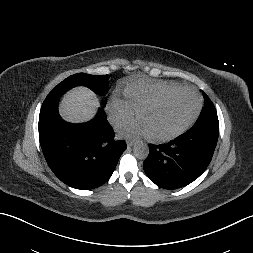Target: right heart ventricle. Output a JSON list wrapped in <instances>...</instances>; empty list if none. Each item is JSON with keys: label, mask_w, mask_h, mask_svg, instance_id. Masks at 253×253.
Listing matches in <instances>:
<instances>
[{"label": "right heart ventricle", "mask_w": 253, "mask_h": 253, "mask_svg": "<svg viewBox=\"0 0 253 253\" xmlns=\"http://www.w3.org/2000/svg\"><path fill=\"white\" fill-rule=\"evenodd\" d=\"M178 86V84L172 82H149L140 80L127 85L124 89V96L131 107L138 110L145 103Z\"/></svg>", "instance_id": "obj_1"}]
</instances>
